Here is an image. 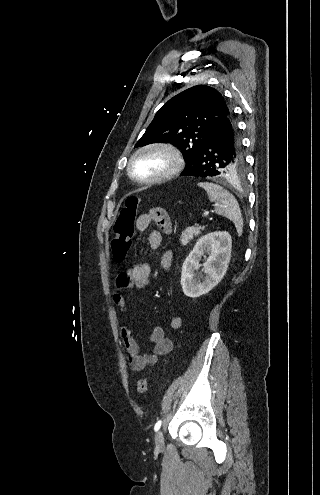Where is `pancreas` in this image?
Instances as JSON below:
<instances>
[{
  "label": "pancreas",
  "instance_id": "1",
  "mask_svg": "<svg viewBox=\"0 0 320 495\" xmlns=\"http://www.w3.org/2000/svg\"><path fill=\"white\" fill-rule=\"evenodd\" d=\"M204 227H188L186 228L180 237V242L183 246L187 245L193 238L194 236H198L200 234V230H203Z\"/></svg>",
  "mask_w": 320,
  "mask_h": 495
}]
</instances>
